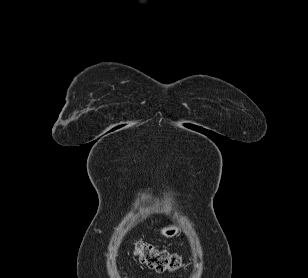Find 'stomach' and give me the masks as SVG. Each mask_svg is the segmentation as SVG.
I'll use <instances>...</instances> for the list:
<instances>
[{
	"label": "stomach",
	"instance_id": "0dacf381",
	"mask_svg": "<svg viewBox=\"0 0 308 278\" xmlns=\"http://www.w3.org/2000/svg\"><path fill=\"white\" fill-rule=\"evenodd\" d=\"M179 232H180V227L175 223L169 226L162 227L160 229V233L167 238H172L176 236Z\"/></svg>",
	"mask_w": 308,
	"mask_h": 278
}]
</instances>
